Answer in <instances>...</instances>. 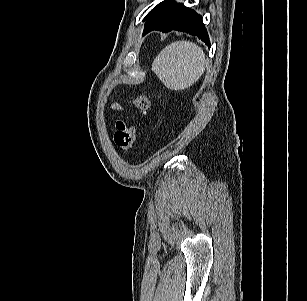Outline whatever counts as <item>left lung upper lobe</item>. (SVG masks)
<instances>
[{"label": "left lung upper lobe", "instance_id": "1", "mask_svg": "<svg viewBox=\"0 0 307 301\" xmlns=\"http://www.w3.org/2000/svg\"><path fill=\"white\" fill-rule=\"evenodd\" d=\"M175 5L176 3L174 2V0H164L163 2L155 6L145 16L143 20V21H146L144 31L150 26L158 23L161 19H163Z\"/></svg>", "mask_w": 307, "mask_h": 301}]
</instances>
